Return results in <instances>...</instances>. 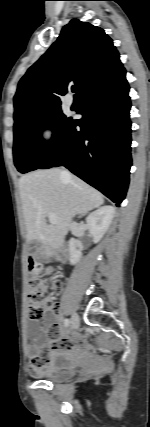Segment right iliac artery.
<instances>
[{
  "mask_svg": "<svg viewBox=\"0 0 150 427\" xmlns=\"http://www.w3.org/2000/svg\"><path fill=\"white\" fill-rule=\"evenodd\" d=\"M64 325H65V327H68L70 325V320L69 319H65L64 320Z\"/></svg>",
  "mask_w": 150,
  "mask_h": 427,
  "instance_id": "82829eb1",
  "label": "right iliac artery"
}]
</instances>
